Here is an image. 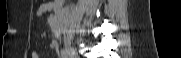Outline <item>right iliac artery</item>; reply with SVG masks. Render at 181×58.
<instances>
[{"label":"right iliac artery","instance_id":"right-iliac-artery-1","mask_svg":"<svg viewBox=\"0 0 181 58\" xmlns=\"http://www.w3.org/2000/svg\"><path fill=\"white\" fill-rule=\"evenodd\" d=\"M61 56L62 58H67V53L65 50H61Z\"/></svg>","mask_w":181,"mask_h":58}]
</instances>
